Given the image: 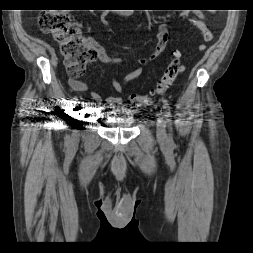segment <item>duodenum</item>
Here are the masks:
<instances>
[{
	"label": "duodenum",
	"mask_w": 253,
	"mask_h": 253,
	"mask_svg": "<svg viewBox=\"0 0 253 253\" xmlns=\"http://www.w3.org/2000/svg\"><path fill=\"white\" fill-rule=\"evenodd\" d=\"M119 14H120L121 16H125V15L127 14V12L121 11V12H119Z\"/></svg>",
	"instance_id": "duodenum-1"
}]
</instances>
